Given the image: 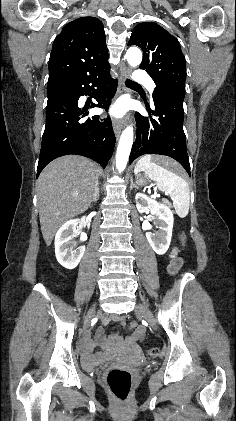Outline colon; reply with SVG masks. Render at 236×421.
Here are the masks:
<instances>
[{
  "label": "colon",
  "instance_id": "obj_1",
  "mask_svg": "<svg viewBox=\"0 0 236 421\" xmlns=\"http://www.w3.org/2000/svg\"><path fill=\"white\" fill-rule=\"evenodd\" d=\"M180 238L181 242L186 244L187 237L185 232L181 233ZM157 354L156 348H150L147 351L148 357H155ZM106 380L114 396L121 401L126 400L132 386L131 373L125 369L113 368L108 372Z\"/></svg>",
  "mask_w": 236,
  "mask_h": 421
}]
</instances>
